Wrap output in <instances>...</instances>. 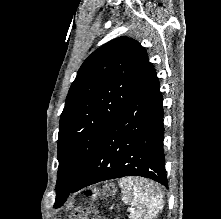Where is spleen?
Listing matches in <instances>:
<instances>
[{"instance_id":"3e777b00","label":"spleen","mask_w":221,"mask_h":219,"mask_svg":"<svg viewBox=\"0 0 221 219\" xmlns=\"http://www.w3.org/2000/svg\"><path fill=\"white\" fill-rule=\"evenodd\" d=\"M119 186L123 190L122 200L135 207L130 219H154L163 209V196L158 185L142 178H122Z\"/></svg>"}]
</instances>
